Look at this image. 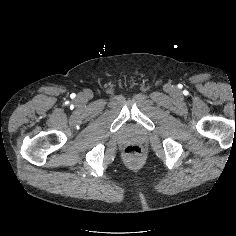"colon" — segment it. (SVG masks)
<instances>
[{
    "mask_svg": "<svg viewBox=\"0 0 236 236\" xmlns=\"http://www.w3.org/2000/svg\"><path fill=\"white\" fill-rule=\"evenodd\" d=\"M125 154L129 157L139 158L142 155V148L137 145H129L125 148Z\"/></svg>",
    "mask_w": 236,
    "mask_h": 236,
    "instance_id": "obj_1",
    "label": "colon"
}]
</instances>
